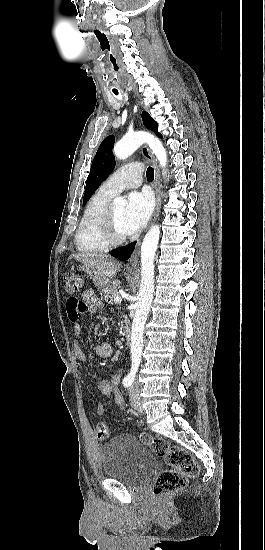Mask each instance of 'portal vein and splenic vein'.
I'll return each instance as SVG.
<instances>
[{
	"label": "portal vein and splenic vein",
	"instance_id": "1",
	"mask_svg": "<svg viewBox=\"0 0 265 550\" xmlns=\"http://www.w3.org/2000/svg\"><path fill=\"white\" fill-rule=\"evenodd\" d=\"M113 301H114V303H116V304H117V303H121V297H120V296H115V297L113 298Z\"/></svg>",
	"mask_w": 265,
	"mask_h": 550
}]
</instances>
